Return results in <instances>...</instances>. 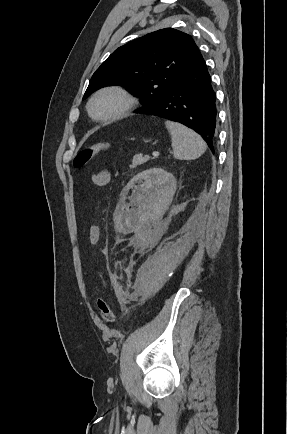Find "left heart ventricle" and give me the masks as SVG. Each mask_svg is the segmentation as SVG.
Here are the masks:
<instances>
[{"mask_svg":"<svg viewBox=\"0 0 287 434\" xmlns=\"http://www.w3.org/2000/svg\"><path fill=\"white\" fill-rule=\"evenodd\" d=\"M117 105L118 101L115 98H105L95 104L94 112L96 114H102L114 109Z\"/></svg>","mask_w":287,"mask_h":434,"instance_id":"b2bd125f","label":"left heart ventricle"}]
</instances>
